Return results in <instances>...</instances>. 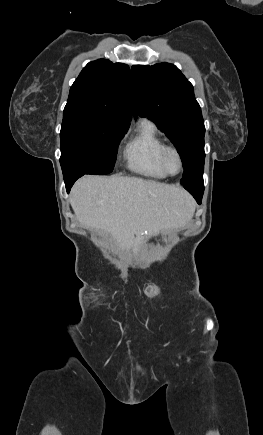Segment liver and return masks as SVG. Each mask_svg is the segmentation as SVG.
<instances>
[{"label": "liver", "mask_w": 263, "mask_h": 435, "mask_svg": "<svg viewBox=\"0 0 263 435\" xmlns=\"http://www.w3.org/2000/svg\"><path fill=\"white\" fill-rule=\"evenodd\" d=\"M70 204L82 225L109 233L122 250L134 252L147 235L183 228L194 212L179 186L116 175L80 178Z\"/></svg>", "instance_id": "obj_1"}]
</instances>
